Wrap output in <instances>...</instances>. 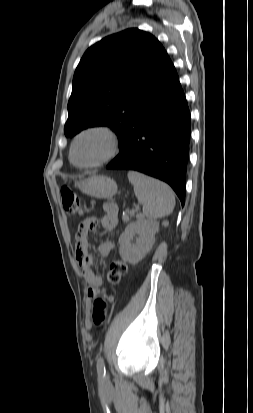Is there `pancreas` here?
I'll list each match as a JSON object with an SVG mask.
<instances>
[{"label": "pancreas", "instance_id": "obj_1", "mask_svg": "<svg viewBox=\"0 0 253 413\" xmlns=\"http://www.w3.org/2000/svg\"><path fill=\"white\" fill-rule=\"evenodd\" d=\"M129 214H130V216L134 215V214H132V211ZM122 220H123V222H128L129 221V216L128 215L123 216Z\"/></svg>", "mask_w": 253, "mask_h": 413}]
</instances>
